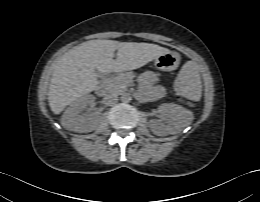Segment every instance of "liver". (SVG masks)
Listing matches in <instances>:
<instances>
[{"label":"liver","mask_w":260,"mask_h":202,"mask_svg":"<svg viewBox=\"0 0 260 202\" xmlns=\"http://www.w3.org/2000/svg\"><path fill=\"white\" fill-rule=\"evenodd\" d=\"M117 50L116 59H113ZM169 49L150 43L91 40L66 52L56 63L48 101L51 111L60 114L67 105L97 88V71L121 72L140 68Z\"/></svg>","instance_id":"liver-1"}]
</instances>
